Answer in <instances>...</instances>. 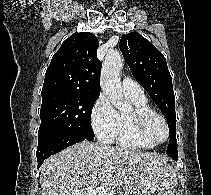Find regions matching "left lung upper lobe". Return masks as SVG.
Returning a JSON list of instances; mask_svg holds the SVG:
<instances>
[{
  "label": "left lung upper lobe",
  "instance_id": "5c2ea615",
  "mask_svg": "<svg viewBox=\"0 0 211 195\" xmlns=\"http://www.w3.org/2000/svg\"><path fill=\"white\" fill-rule=\"evenodd\" d=\"M119 47L134 78L144 87L167 119L170 132L167 155L170 157L178 155L175 96L165 57L137 32L123 35Z\"/></svg>",
  "mask_w": 211,
  "mask_h": 195
}]
</instances>
